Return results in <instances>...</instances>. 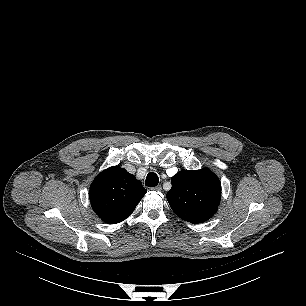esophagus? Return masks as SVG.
Segmentation results:
<instances>
[{"label":"esophagus","mask_w":306,"mask_h":306,"mask_svg":"<svg viewBox=\"0 0 306 306\" xmlns=\"http://www.w3.org/2000/svg\"><path fill=\"white\" fill-rule=\"evenodd\" d=\"M151 189L154 190V191H161V190H162V187H161V185H158V186L153 187V188H151Z\"/></svg>","instance_id":"34e87169"}]
</instances>
